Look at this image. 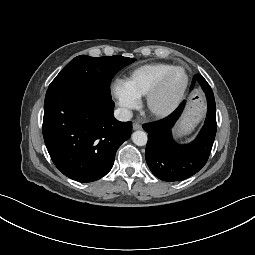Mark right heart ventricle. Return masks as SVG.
<instances>
[{
    "label": "right heart ventricle",
    "mask_w": 255,
    "mask_h": 255,
    "mask_svg": "<svg viewBox=\"0 0 255 255\" xmlns=\"http://www.w3.org/2000/svg\"><path fill=\"white\" fill-rule=\"evenodd\" d=\"M173 67L174 65L167 63L146 64L132 71L126 82L139 97L145 96Z\"/></svg>",
    "instance_id": "right-heart-ventricle-1"
}]
</instances>
